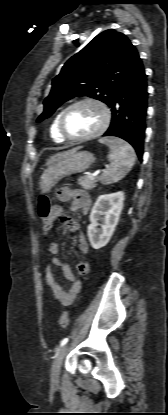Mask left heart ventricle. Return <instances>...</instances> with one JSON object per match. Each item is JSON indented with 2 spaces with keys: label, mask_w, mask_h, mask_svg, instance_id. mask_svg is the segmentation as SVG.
<instances>
[{
  "label": "left heart ventricle",
  "mask_w": 168,
  "mask_h": 415,
  "mask_svg": "<svg viewBox=\"0 0 168 415\" xmlns=\"http://www.w3.org/2000/svg\"><path fill=\"white\" fill-rule=\"evenodd\" d=\"M103 115L94 104L84 103L73 107L65 117V129L74 137H81L96 131L102 123Z\"/></svg>",
  "instance_id": "b2bd125f"
}]
</instances>
